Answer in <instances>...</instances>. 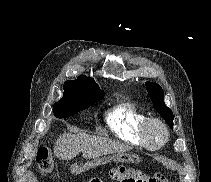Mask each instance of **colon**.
<instances>
[{
    "instance_id": "1",
    "label": "colon",
    "mask_w": 211,
    "mask_h": 182,
    "mask_svg": "<svg viewBox=\"0 0 211 182\" xmlns=\"http://www.w3.org/2000/svg\"><path fill=\"white\" fill-rule=\"evenodd\" d=\"M36 160L40 172L44 175L49 174L53 168V159L50 150L46 147L38 149L36 154ZM69 171L72 175H82L84 168L82 165L73 163L69 167ZM112 178L122 182H168L167 179L160 173H155L152 176H146L139 170L128 167H117L111 174ZM89 182H102L95 179Z\"/></svg>"
}]
</instances>
